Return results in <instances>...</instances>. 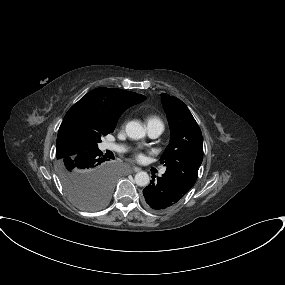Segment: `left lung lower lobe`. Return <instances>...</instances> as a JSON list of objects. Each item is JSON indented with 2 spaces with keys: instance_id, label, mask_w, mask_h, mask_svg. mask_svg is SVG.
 I'll list each match as a JSON object with an SVG mask.
<instances>
[{
  "instance_id": "1",
  "label": "left lung lower lobe",
  "mask_w": 285,
  "mask_h": 285,
  "mask_svg": "<svg viewBox=\"0 0 285 285\" xmlns=\"http://www.w3.org/2000/svg\"><path fill=\"white\" fill-rule=\"evenodd\" d=\"M191 187L180 177L165 172L157 181L155 177L152 178L150 184L144 188L143 195L149 207L163 211L175 205Z\"/></svg>"
}]
</instances>
